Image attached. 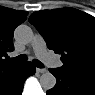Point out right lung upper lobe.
Returning <instances> with one entry per match:
<instances>
[{
  "label": "right lung upper lobe",
  "instance_id": "right-lung-upper-lobe-1",
  "mask_svg": "<svg viewBox=\"0 0 95 95\" xmlns=\"http://www.w3.org/2000/svg\"><path fill=\"white\" fill-rule=\"evenodd\" d=\"M28 12L0 7V87L15 77L22 63L4 59L7 52L14 50L13 33L15 28L27 19Z\"/></svg>",
  "mask_w": 95,
  "mask_h": 95
}]
</instances>
